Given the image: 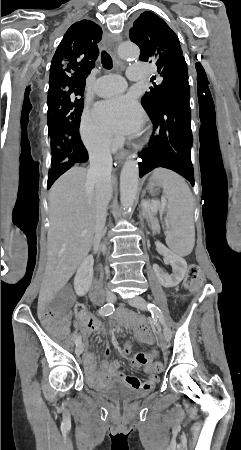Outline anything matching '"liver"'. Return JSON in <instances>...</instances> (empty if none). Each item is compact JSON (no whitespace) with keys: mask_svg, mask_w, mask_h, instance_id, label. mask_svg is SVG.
Listing matches in <instances>:
<instances>
[{"mask_svg":"<svg viewBox=\"0 0 241 450\" xmlns=\"http://www.w3.org/2000/svg\"><path fill=\"white\" fill-rule=\"evenodd\" d=\"M87 168H70L49 190L50 230L39 302H51L89 254L96 226V192L86 190ZM116 178L111 180L114 186ZM86 232L85 236H81Z\"/></svg>","mask_w":241,"mask_h":450,"instance_id":"obj_1","label":"liver"}]
</instances>
